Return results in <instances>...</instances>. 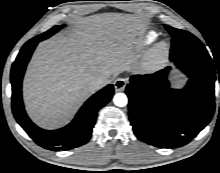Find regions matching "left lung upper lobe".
<instances>
[{
    "label": "left lung upper lobe",
    "instance_id": "1",
    "mask_svg": "<svg viewBox=\"0 0 220 173\" xmlns=\"http://www.w3.org/2000/svg\"><path fill=\"white\" fill-rule=\"evenodd\" d=\"M172 35V47L170 58L180 59L188 55H206L209 56L206 48L193 34L165 26Z\"/></svg>",
    "mask_w": 220,
    "mask_h": 173
}]
</instances>
